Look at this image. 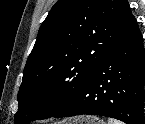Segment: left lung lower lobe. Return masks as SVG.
I'll return each instance as SVG.
<instances>
[{
	"mask_svg": "<svg viewBox=\"0 0 145 124\" xmlns=\"http://www.w3.org/2000/svg\"><path fill=\"white\" fill-rule=\"evenodd\" d=\"M145 50L134 17L78 95L51 117L99 115L144 124Z\"/></svg>",
	"mask_w": 145,
	"mask_h": 124,
	"instance_id": "1",
	"label": "left lung lower lobe"
}]
</instances>
